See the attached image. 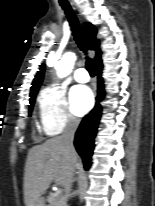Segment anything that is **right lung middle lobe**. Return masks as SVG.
I'll return each instance as SVG.
<instances>
[{
    "label": "right lung middle lobe",
    "mask_w": 155,
    "mask_h": 206,
    "mask_svg": "<svg viewBox=\"0 0 155 206\" xmlns=\"http://www.w3.org/2000/svg\"><path fill=\"white\" fill-rule=\"evenodd\" d=\"M35 97H36V95L30 97L29 116H30V114L32 112V109H33V105H34V102H35Z\"/></svg>",
    "instance_id": "right-lung-middle-lobe-1"
}]
</instances>
